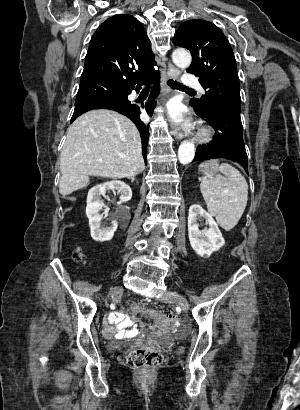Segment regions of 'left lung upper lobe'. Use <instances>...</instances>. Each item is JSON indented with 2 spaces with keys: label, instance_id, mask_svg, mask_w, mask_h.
Segmentation results:
<instances>
[{
  "label": "left lung upper lobe",
  "instance_id": "1",
  "mask_svg": "<svg viewBox=\"0 0 300 410\" xmlns=\"http://www.w3.org/2000/svg\"><path fill=\"white\" fill-rule=\"evenodd\" d=\"M173 44L187 48L192 63L187 69L200 77L206 90L201 99H192L190 105L201 115L215 106L241 111L240 83L233 50L222 31L204 20H189L176 31Z\"/></svg>",
  "mask_w": 300,
  "mask_h": 410
}]
</instances>
